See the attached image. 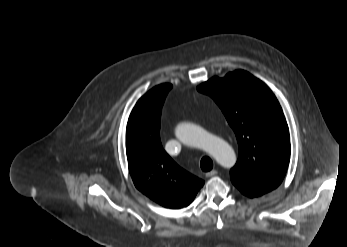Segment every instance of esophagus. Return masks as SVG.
<instances>
[{"instance_id": "esophagus-1", "label": "esophagus", "mask_w": 347, "mask_h": 247, "mask_svg": "<svg viewBox=\"0 0 347 247\" xmlns=\"http://www.w3.org/2000/svg\"><path fill=\"white\" fill-rule=\"evenodd\" d=\"M217 170H211L210 172H207L206 173V177H212V176H215L217 175Z\"/></svg>"}]
</instances>
